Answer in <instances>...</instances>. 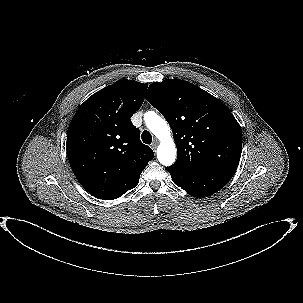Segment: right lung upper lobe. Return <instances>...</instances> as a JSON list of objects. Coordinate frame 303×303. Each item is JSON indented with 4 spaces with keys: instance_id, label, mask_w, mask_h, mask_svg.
Instances as JSON below:
<instances>
[{
    "instance_id": "obj_1",
    "label": "right lung upper lobe",
    "mask_w": 303,
    "mask_h": 303,
    "mask_svg": "<svg viewBox=\"0 0 303 303\" xmlns=\"http://www.w3.org/2000/svg\"><path fill=\"white\" fill-rule=\"evenodd\" d=\"M148 84L119 80L89 97L68 127L66 149L80 184L98 199L133 189L154 158L130 118L141 107Z\"/></svg>"
}]
</instances>
